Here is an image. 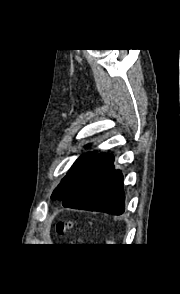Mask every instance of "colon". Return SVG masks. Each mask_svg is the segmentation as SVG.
Masks as SVG:
<instances>
[{"label": "colon", "instance_id": "5ec220e1", "mask_svg": "<svg viewBox=\"0 0 180 294\" xmlns=\"http://www.w3.org/2000/svg\"><path fill=\"white\" fill-rule=\"evenodd\" d=\"M74 227V223L71 221H62L57 224V232L59 234L65 233L67 230H70Z\"/></svg>", "mask_w": 180, "mask_h": 294}]
</instances>
